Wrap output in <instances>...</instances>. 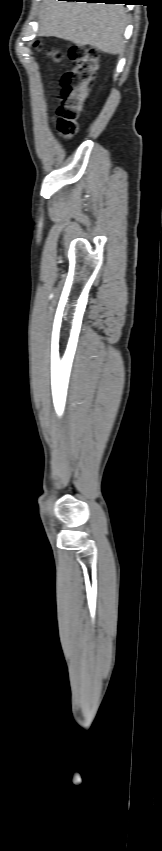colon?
<instances>
[{
  "label": "colon",
  "mask_w": 162,
  "mask_h": 851,
  "mask_svg": "<svg viewBox=\"0 0 162 851\" xmlns=\"http://www.w3.org/2000/svg\"><path fill=\"white\" fill-rule=\"evenodd\" d=\"M39 48V45H35ZM54 62L62 60L60 51L51 50L48 53ZM71 66L61 78V102L57 108L58 129L67 137L77 133V121L83 109V103L89 84L98 68V52L91 47L72 45L68 50Z\"/></svg>",
  "instance_id": "1"
}]
</instances>
